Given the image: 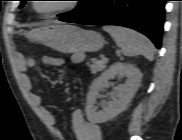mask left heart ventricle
<instances>
[{
    "label": "left heart ventricle",
    "instance_id": "left-heart-ventricle-1",
    "mask_svg": "<svg viewBox=\"0 0 182 140\" xmlns=\"http://www.w3.org/2000/svg\"><path fill=\"white\" fill-rule=\"evenodd\" d=\"M67 3L65 2H41L38 3L37 7L39 8L40 11L42 12H48L51 10H56L64 7Z\"/></svg>",
    "mask_w": 182,
    "mask_h": 140
}]
</instances>
